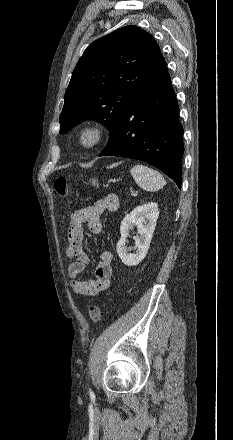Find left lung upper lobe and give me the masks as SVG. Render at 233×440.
<instances>
[{
    "label": "left lung upper lobe",
    "mask_w": 233,
    "mask_h": 440,
    "mask_svg": "<svg viewBox=\"0 0 233 440\" xmlns=\"http://www.w3.org/2000/svg\"><path fill=\"white\" fill-rule=\"evenodd\" d=\"M160 57L154 38L132 25L91 43L79 59L66 90L60 134L91 119L109 129L110 141L119 130L129 103Z\"/></svg>",
    "instance_id": "left-lung-upper-lobe-1"
}]
</instances>
